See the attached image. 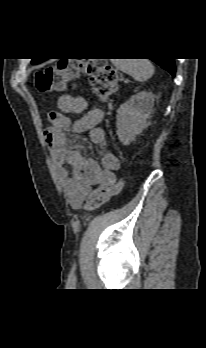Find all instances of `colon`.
<instances>
[{"mask_svg":"<svg viewBox=\"0 0 206 348\" xmlns=\"http://www.w3.org/2000/svg\"><path fill=\"white\" fill-rule=\"evenodd\" d=\"M87 74L92 91L102 100L108 99L116 90L117 71L106 60L100 58L60 59L53 66L39 70L34 85L39 93H50L61 89L67 82ZM123 187V181L114 185H101L91 192L86 209L93 211L117 195Z\"/></svg>","mask_w":206,"mask_h":348,"instance_id":"5ec220e1","label":"colon"}]
</instances>
